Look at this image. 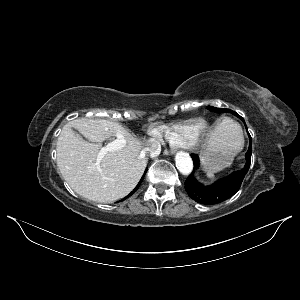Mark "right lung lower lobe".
I'll use <instances>...</instances> for the list:
<instances>
[{"instance_id":"right-lung-lower-lobe-1","label":"right lung lower lobe","mask_w":300,"mask_h":300,"mask_svg":"<svg viewBox=\"0 0 300 300\" xmlns=\"http://www.w3.org/2000/svg\"><path fill=\"white\" fill-rule=\"evenodd\" d=\"M145 172H146V171H145ZM142 180H143V177L141 178V180H140V182L138 183V185L136 186V188H135L128 196L132 195V194L138 189V187L140 186Z\"/></svg>"}]
</instances>
